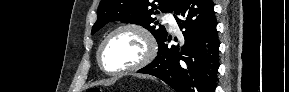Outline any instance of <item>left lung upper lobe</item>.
<instances>
[{"mask_svg":"<svg viewBox=\"0 0 289 92\" xmlns=\"http://www.w3.org/2000/svg\"><path fill=\"white\" fill-rule=\"evenodd\" d=\"M101 0L97 10V21L91 34L96 33L111 21L133 23L148 29L158 42V46L167 37L164 26L158 25L152 15L159 12H172L179 0Z\"/></svg>","mask_w":289,"mask_h":92,"instance_id":"1","label":"left lung upper lobe"}]
</instances>
